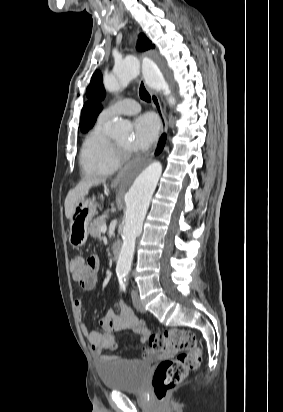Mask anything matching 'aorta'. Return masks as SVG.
I'll list each match as a JSON object with an SVG mask.
<instances>
[{"label":"aorta","instance_id":"762f6f07","mask_svg":"<svg viewBox=\"0 0 283 412\" xmlns=\"http://www.w3.org/2000/svg\"><path fill=\"white\" fill-rule=\"evenodd\" d=\"M140 73L151 88L162 90L168 96L169 104H174L175 100L158 65L148 57L142 60L134 57L125 59L114 74L104 79V87L109 92H116L126 87ZM129 130L130 124L120 119L114 123L110 136L116 138ZM161 173V164L153 162L127 172L123 178L122 193L125 196L126 213L122 232L123 244L116 265V274L119 278L125 277L131 270L136 238L142 232L143 222Z\"/></svg>","mask_w":283,"mask_h":412}]
</instances>
